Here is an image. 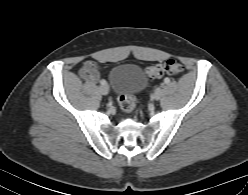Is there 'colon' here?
<instances>
[{
  "mask_svg": "<svg viewBox=\"0 0 248 195\" xmlns=\"http://www.w3.org/2000/svg\"><path fill=\"white\" fill-rule=\"evenodd\" d=\"M184 66L176 60H168L162 64L152 65L146 68L145 73L148 79L160 78L165 74L168 75H178L182 73ZM118 103L121 108L126 113L132 112L136 107V102L134 97L128 93H122L118 97Z\"/></svg>",
  "mask_w": 248,
  "mask_h": 195,
  "instance_id": "1",
  "label": "colon"
}]
</instances>
